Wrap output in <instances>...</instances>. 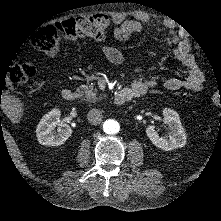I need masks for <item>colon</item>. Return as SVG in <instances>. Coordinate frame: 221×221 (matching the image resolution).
Returning a JSON list of instances; mask_svg holds the SVG:
<instances>
[{"mask_svg":"<svg viewBox=\"0 0 221 221\" xmlns=\"http://www.w3.org/2000/svg\"><path fill=\"white\" fill-rule=\"evenodd\" d=\"M111 20L104 14L70 18L39 28L33 35L32 45L49 57L59 53L62 43L72 42L78 38L101 41L109 27ZM34 68L27 63L14 64L10 67L6 78V92H12L34 76Z\"/></svg>","mask_w":221,"mask_h":221,"instance_id":"colon-1","label":"colon"}]
</instances>
